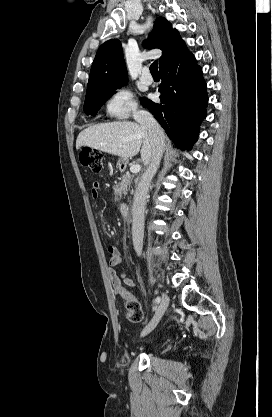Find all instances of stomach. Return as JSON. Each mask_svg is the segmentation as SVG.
Here are the masks:
<instances>
[{
    "label": "stomach",
    "mask_w": 272,
    "mask_h": 417,
    "mask_svg": "<svg viewBox=\"0 0 272 417\" xmlns=\"http://www.w3.org/2000/svg\"><path fill=\"white\" fill-rule=\"evenodd\" d=\"M126 164H127V159H125V158H120L117 162V165L120 169L125 167Z\"/></svg>",
    "instance_id": "stomach-1"
}]
</instances>
